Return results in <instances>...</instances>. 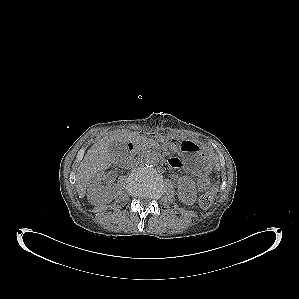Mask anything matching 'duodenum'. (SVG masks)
Wrapping results in <instances>:
<instances>
[{
    "label": "duodenum",
    "instance_id": "duodenum-1",
    "mask_svg": "<svg viewBox=\"0 0 299 299\" xmlns=\"http://www.w3.org/2000/svg\"><path fill=\"white\" fill-rule=\"evenodd\" d=\"M127 150L129 153H133L135 151V144L133 142H129L127 145Z\"/></svg>",
    "mask_w": 299,
    "mask_h": 299
}]
</instances>
